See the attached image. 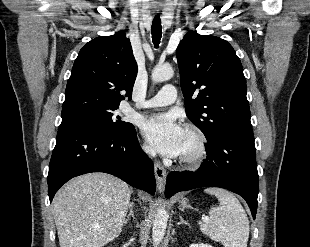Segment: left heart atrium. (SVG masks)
I'll return each instance as SVG.
<instances>
[{"instance_id":"39dd6f15","label":"left heart atrium","mask_w":310,"mask_h":247,"mask_svg":"<svg viewBox=\"0 0 310 247\" xmlns=\"http://www.w3.org/2000/svg\"><path fill=\"white\" fill-rule=\"evenodd\" d=\"M143 132L160 153L169 156L180 154L184 129L174 114L164 113L149 117L144 123Z\"/></svg>"}]
</instances>
